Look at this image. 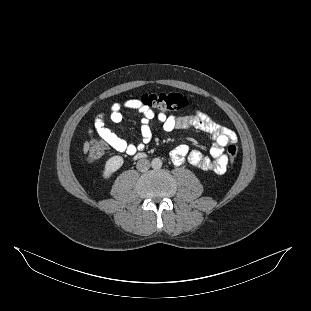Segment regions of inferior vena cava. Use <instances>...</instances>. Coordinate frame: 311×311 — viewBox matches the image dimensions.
<instances>
[{
    "mask_svg": "<svg viewBox=\"0 0 311 311\" xmlns=\"http://www.w3.org/2000/svg\"><path fill=\"white\" fill-rule=\"evenodd\" d=\"M151 167L150 161L147 159H140L137 162L136 168L140 172H145Z\"/></svg>",
    "mask_w": 311,
    "mask_h": 311,
    "instance_id": "inferior-vena-cava-1",
    "label": "inferior vena cava"
}]
</instances>
